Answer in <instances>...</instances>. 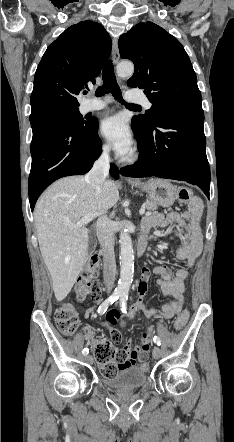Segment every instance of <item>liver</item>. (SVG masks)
I'll return each instance as SVG.
<instances>
[{"mask_svg": "<svg viewBox=\"0 0 234 442\" xmlns=\"http://www.w3.org/2000/svg\"><path fill=\"white\" fill-rule=\"evenodd\" d=\"M119 200L116 184L106 180L97 192L83 176H70L53 183L34 210L39 248L52 278L57 301L71 291L86 261L89 232L70 228L91 213L106 212Z\"/></svg>", "mask_w": 234, "mask_h": 442, "instance_id": "6515ba94", "label": "liver"}]
</instances>
